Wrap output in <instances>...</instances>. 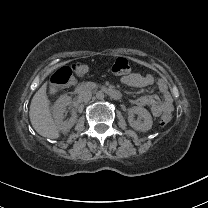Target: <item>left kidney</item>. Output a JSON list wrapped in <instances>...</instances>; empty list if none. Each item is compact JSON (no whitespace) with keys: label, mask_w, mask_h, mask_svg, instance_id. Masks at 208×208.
I'll return each mask as SVG.
<instances>
[{"label":"left kidney","mask_w":208,"mask_h":208,"mask_svg":"<svg viewBox=\"0 0 208 208\" xmlns=\"http://www.w3.org/2000/svg\"><path fill=\"white\" fill-rule=\"evenodd\" d=\"M134 114H138L144 121L134 120ZM128 122L133 129L142 132L150 130L153 124L151 114L145 108L138 106L128 109Z\"/></svg>","instance_id":"obj_1"}]
</instances>
